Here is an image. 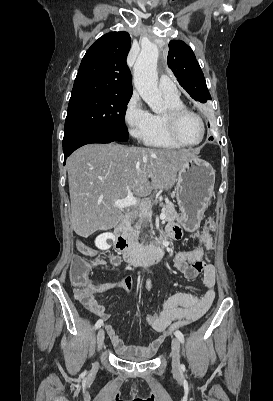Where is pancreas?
<instances>
[{"mask_svg": "<svg viewBox=\"0 0 273 401\" xmlns=\"http://www.w3.org/2000/svg\"><path fill=\"white\" fill-rule=\"evenodd\" d=\"M162 213H164L165 215V221H167V223H174L175 219H178L179 215H177L176 211H175V207L173 205V203H165V205H163V209H162ZM141 219H147V221H150L147 213H143V215H140ZM140 219V221H141ZM139 229H141L139 223H137V225H135V229L133 231V237H138L140 231Z\"/></svg>", "mask_w": 273, "mask_h": 401, "instance_id": "pancreas-1", "label": "pancreas"}]
</instances>
